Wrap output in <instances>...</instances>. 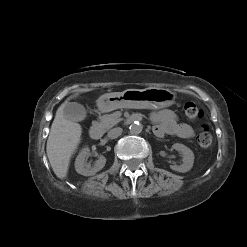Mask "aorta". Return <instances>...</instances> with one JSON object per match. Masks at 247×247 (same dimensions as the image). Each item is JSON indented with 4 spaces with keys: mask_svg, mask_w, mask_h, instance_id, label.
Wrapping results in <instances>:
<instances>
[{
    "mask_svg": "<svg viewBox=\"0 0 247 247\" xmlns=\"http://www.w3.org/2000/svg\"><path fill=\"white\" fill-rule=\"evenodd\" d=\"M143 129V126L141 123H139L138 121L133 122L130 126H129V131L131 134L133 135H137L139 133H141Z\"/></svg>",
    "mask_w": 247,
    "mask_h": 247,
    "instance_id": "1",
    "label": "aorta"
}]
</instances>
